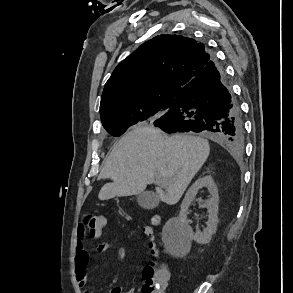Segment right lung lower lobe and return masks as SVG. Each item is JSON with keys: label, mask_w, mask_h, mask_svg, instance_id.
<instances>
[{"label": "right lung lower lobe", "mask_w": 293, "mask_h": 293, "mask_svg": "<svg viewBox=\"0 0 293 293\" xmlns=\"http://www.w3.org/2000/svg\"><path fill=\"white\" fill-rule=\"evenodd\" d=\"M175 104L173 110L152 123L168 133H204L236 152L242 151L244 129L240 107L215 58L182 89Z\"/></svg>", "instance_id": "1"}]
</instances>
